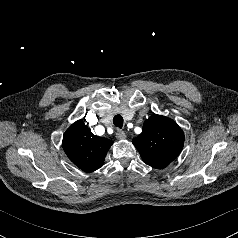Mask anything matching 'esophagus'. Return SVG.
I'll use <instances>...</instances> for the list:
<instances>
[{"instance_id":"obj_1","label":"esophagus","mask_w":238,"mask_h":238,"mask_svg":"<svg viewBox=\"0 0 238 238\" xmlns=\"http://www.w3.org/2000/svg\"><path fill=\"white\" fill-rule=\"evenodd\" d=\"M116 138L119 139V140L125 139V138H126L125 132L122 131V130H118V131L116 132Z\"/></svg>"}]
</instances>
